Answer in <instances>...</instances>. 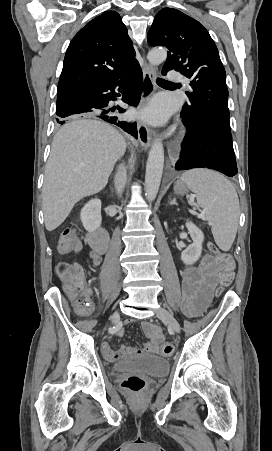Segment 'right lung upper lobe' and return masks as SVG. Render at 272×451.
<instances>
[{
    "instance_id": "cb5924a9",
    "label": "right lung upper lobe",
    "mask_w": 272,
    "mask_h": 451,
    "mask_svg": "<svg viewBox=\"0 0 272 451\" xmlns=\"http://www.w3.org/2000/svg\"><path fill=\"white\" fill-rule=\"evenodd\" d=\"M137 63L120 15L106 11L88 22L70 42L58 95L81 87L111 83Z\"/></svg>"
}]
</instances>
